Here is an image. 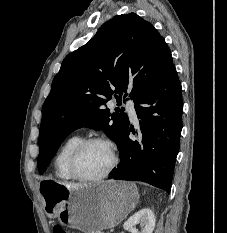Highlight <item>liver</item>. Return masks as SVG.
Masks as SVG:
<instances>
[{
    "instance_id": "6515ba94",
    "label": "liver",
    "mask_w": 227,
    "mask_h": 233,
    "mask_svg": "<svg viewBox=\"0 0 227 233\" xmlns=\"http://www.w3.org/2000/svg\"><path fill=\"white\" fill-rule=\"evenodd\" d=\"M58 183H60V184H62V185H64V186H66V187H68V188H80V187H83V186H85V185H82V184H72V183H67V182H58Z\"/></svg>"
}]
</instances>
